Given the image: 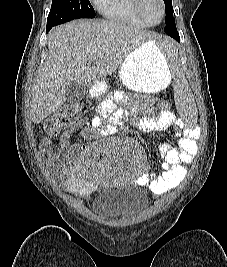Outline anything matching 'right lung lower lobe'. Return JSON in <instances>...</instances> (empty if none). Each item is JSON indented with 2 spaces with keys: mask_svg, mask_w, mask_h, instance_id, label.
Listing matches in <instances>:
<instances>
[{
  "mask_svg": "<svg viewBox=\"0 0 227 267\" xmlns=\"http://www.w3.org/2000/svg\"><path fill=\"white\" fill-rule=\"evenodd\" d=\"M53 26H47L46 31L48 32Z\"/></svg>",
  "mask_w": 227,
  "mask_h": 267,
  "instance_id": "98d812e1",
  "label": "right lung lower lobe"
}]
</instances>
